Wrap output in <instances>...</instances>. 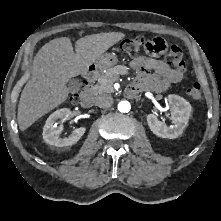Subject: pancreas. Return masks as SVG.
<instances>
[{
  "instance_id": "obj_1",
  "label": "pancreas",
  "mask_w": 221,
  "mask_h": 221,
  "mask_svg": "<svg viewBox=\"0 0 221 221\" xmlns=\"http://www.w3.org/2000/svg\"><path fill=\"white\" fill-rule=\"evenodd\" d=\"M128 74V68L124 65H117L108 68L103 74L97 77V84L92 87L95 94L114 92L113 83L119 79V75Z\"/></svg>"
}]
</instances>
